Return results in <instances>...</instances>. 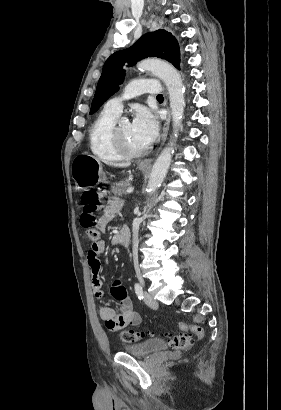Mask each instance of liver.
<instances>
[{
    "instance_id": "6515ba94",
    "label": "liver",
    "mask_w": 281,
    "mask_h": 410,
    "mask_svg": "<svg viewBox=\"0 0 281 410\" xmlns=\"http://www.w3.org/2000/svg\"><path fill=\"white\" fill-rule=\"evenodd\" d=\"M110 166H114V167H119V168H125V167H129L130 163H107Z\"/></svg>"
}]
</instances>
